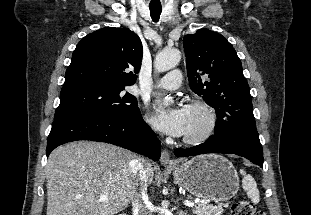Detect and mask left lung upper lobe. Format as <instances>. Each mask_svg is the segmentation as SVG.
Here are the masks:
<instances>
[{
    "label": "left lung upper lobe",
    "mask_w": 311,
    "mask_h": 215,
    "mask_svg": "<svg viewBox=\"0 0 311 215\" xmlns=\"http://www.w3.org/2000/svg\"><path fill=\"white\" fill-rule=\"evenodd\" d=\"M191 90L216 110L214 133L256 126L248 83L233 46L221 34L200 29L183 39Z\"/></svg>",
    "instance_id": "obj_1"
}]
</instances>
